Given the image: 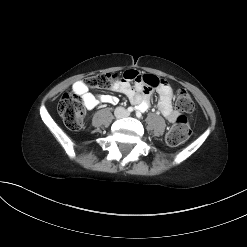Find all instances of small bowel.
<instances>
[{"label":"small bowel","instance_id":"c3829d8e","mask_svg":"<svg viewBox=\"0 0 247 247\" xmlns=\"http://www.w3.org/2000/svg\"><path fill=\"white\" fill-rule=\"evenodd\" d=\"M157 80V85L152 87L147 78ZM134 81V84H132ZM111 88L128 97L141 111H146L149 107L151 93L156 90L159 95L158 108L162 115L169 121L175 122L178 118L177 112L173 109V89L165 80L158 79L156 76L140 74L135 70H126L117 73L111 81ZM73 92L78 95L87 109L92 110L101 103L115 104L118 98L110 94L94 95L89 92L85 82L77 81L72 86Z\"/></svg>","mask_w":247,"mask_h":247}]
</instances>
